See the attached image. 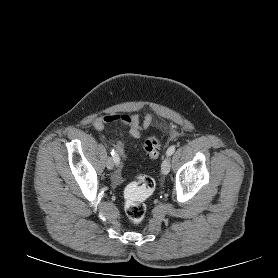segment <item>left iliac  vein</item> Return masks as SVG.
<instances>
[{
    "instance_id": "1",
    "label": "left iliac vein",
    "mask_w": 278,
    "mask_h": 278,
    "mask_svg": "<svg viewBox=\"0 0 278 278\" xmlns=\"http://www.w3.org/2000/svg\"><path fill=\"white\" fill-rule=\"evenodd\" d=\"M170 167H171V164H170V159L169 157H166L164 159V161L162 162V165H161V172L163 175H167L170 171Z\"/></svg>"
}]
</instances>
